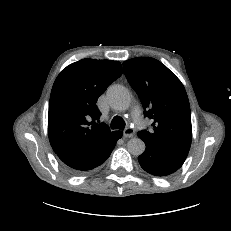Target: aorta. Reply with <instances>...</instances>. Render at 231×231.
<instances>
[{
    "label": "aorta",
    "mask_w": 231,
    "mask_h": 231,
    "mask_svg": "<svg viewBox=\"0 0 231 231\" xmlns=\"http://www.w3.org/2000/svg\"><path fill=\"white\" fill-rule=\"evenodd\" d=\"M108 101L111 106L119 111L127 110L131 104V96L129 91L120 85H114L107 92ZM146 145L144 141L138 137L130 139L127 143L129 153L139 156L144 153Z\"/></svg>",
    "instance_id": "obj_1"
}]
</instances>
